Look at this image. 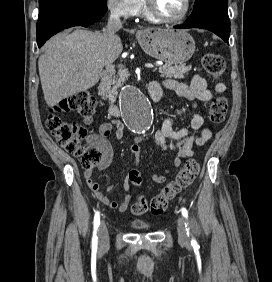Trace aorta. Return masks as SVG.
Returning <instances> with one entry per match:
<instances>
[{"mask_svg": "<svg viewBox=\"0 0 272 282\" xmlns=\"http://www.w3.org/2000/svg\"><path fill=\"white\" fill-rule=\"evenodd\" d=\"M121 108L128 126L139 133L147 132L153 122L152 106L136 86H128L121 98Z\"/></svg>", "mask_w": 272, "mask_h": 282, "instance_id": "762f6f07", "label": "aorta"}]
</instances>
